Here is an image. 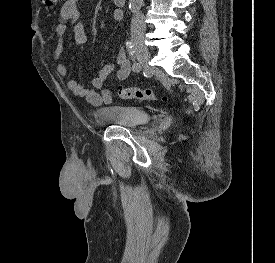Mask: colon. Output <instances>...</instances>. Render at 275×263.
Returning a JSON list of instances; mask_svg holds the SVG:
<instances>
[{
	"label": "colon",
	"mask_w": 275,
	"mask_h": 263,
	"mask_svg": "<svg viewBox=\"0 0 275 263\" xmlns=\"http://www.w3.org/2000/svg\"><path fill=\"white\" fill-rule=\"evenodd\" d=\"M45 4L49 7L57 6L61 0H44ZM118 96L125 100H150L155 101L158 99L157 95L150 89H141L136 86L119 87Z\"/></svg>",
	"instance_id": "1"
}]
</instances>
